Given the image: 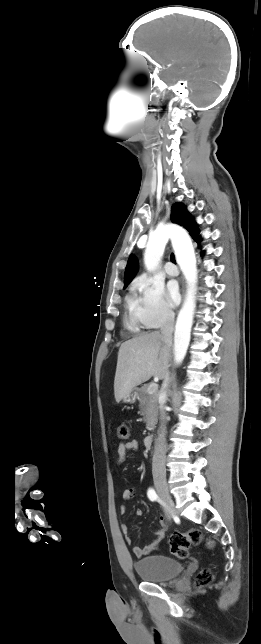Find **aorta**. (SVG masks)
<instances>
[{
    "label": "aorta",
    "mask_w": 261,
    "mask_h": 644,
    "mask_svg": "<svg viewBox=\"0 0 261 644\" xmlns=\"http://www.w3.org/2000/svg\"><path fill=\"white\" fill-rule=\"evenodd\" d=\"M169 238H175L174 231L170 229H157L150 235L144 252V264L148 271H154L158 267ZM176 259L189 284L187 297L179 312L174 334V360L180 364L186 355L190 342L197 272L194 250L177 248Z\"/></svg>",
    "instance_id": "aorta-1"
}]
</instances>
